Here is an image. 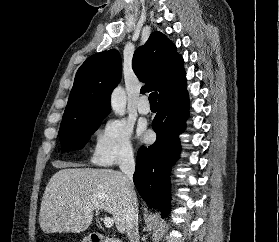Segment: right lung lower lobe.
<instances>
[{
  "instance_id": "right-lung-lower-lobe-1",
  "label": "right lung lower lobe",
  "mask_w": 279,
  "mask_h": 242,
  "mask_svg": "<svg viewBox=\"0 0 279 242\" xmlns=\"http://www.w3.org/2000/svg\"><path fill=\"white\" fill-rule=\"evenodd\" d=\"M189 102L186 88L158 100V112L152 128L157 134L156 142L148 147L141 146L137 153L135 186L144 201L161 216L169 214L170 169L179 158V134L185 129Z\"/></svg>"
}]
</instances>
